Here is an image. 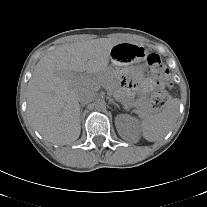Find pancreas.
<instances>
[{
	"label": "pancreas",
	"instance_id": "pancreas-1",
	"mask_svg": "<svg viewBox=\"0 0 207 207\" xmlns=\"http://www.w3.org/2000/svg\"><path fill=\"white\" fill-rule=\"evenodd\" d=\"M95 83L99 87L100 86L105 87L111 94H114L116 96L119 95L118 90H117V84L112 76L108 74L100 75L96 79ZM121 102L125 105L122 99H121ZM126 106L134 107L136 113L140 115L141 117H149L153 113L152 105L148 101H134L133 100L131 102H128Z\"/></svg>",
	"mask_w": 207,
	"mask_h": 207
}]
</instances>
